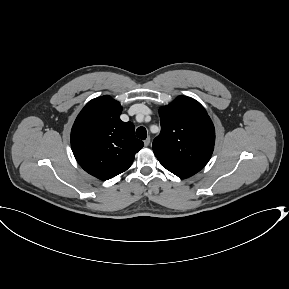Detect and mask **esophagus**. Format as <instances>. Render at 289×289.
<instances>
[{"mask_svg":"<svg viewBox=\"0 0 289 289\" xmlns=\"http://www.w3.org/2000/svg\"><path fill=\"white\" fill-rule=\"evenodd\" d=\"M150 144V137H147L145 140H144V145L147 147L149 146Z\"/></svg>","mask_w":289,"mask_h":289,"instance_id":"obj_1","label":"esophagus"}]
</instances>
